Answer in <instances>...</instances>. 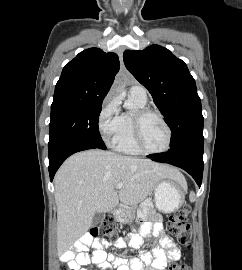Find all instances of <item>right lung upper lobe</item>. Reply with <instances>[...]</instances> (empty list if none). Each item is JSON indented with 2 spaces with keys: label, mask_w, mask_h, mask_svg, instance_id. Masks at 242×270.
I'll use <instances>...</instances> for the list:
<instances>
[{
  "label": "right lung upper lobe",
  "mask_w": 242,
  "mask_h": 270,
  "mask_svg": "<svg viewBox=\"0 0 242 270\" xmlns=\"http://www.w3.org/2000/svg\"><path fill=\"white\" fill-rule=\"evenodd\" d=\"M119 68L115 53L99 48L82 51L63 68L52 106L102 103Z\"/></svg>",
  "instance_id": "1"
}]
</instances>
